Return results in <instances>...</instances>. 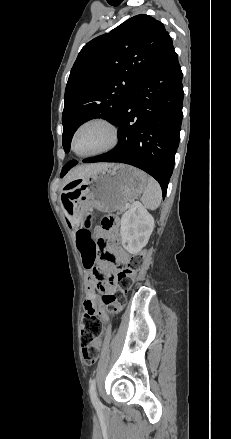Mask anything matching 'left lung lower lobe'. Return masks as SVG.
<instances>
[{
    "label": "left lung lower lobe",
    "mask_w": 231,
    "mask_h": 439,
    "mask_svg": "<svg viewBox=\"0 0 231 439\" xmlns=\"http://www.w3.org/2000/svg\"><path fill=\"white\" fill-rule=\"evenodd\" d=\"M183 97L182 71L172 47L136 84L120 110L115 122L119 144L82 162H120L140 168L159 182L164 198L179 146ZM76 164L72 160L68 170Z\"/></svg>",
    "instance_id": "left-lung-lower-lobe-1"
}]
</instances>
